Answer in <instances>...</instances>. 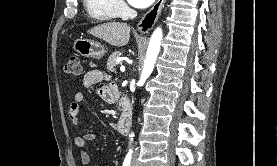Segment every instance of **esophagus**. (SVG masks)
<instances>
[{"instance_id":"obj_1","label":"esophagus","mask_w":277,"mask_h":166,"mask_svg":"<svg viewBox=\"0 0 277 166\" xmlns=\"http://www.w3.org/2000/svg\"><path fill=\"white\" fill-rule=\"evenodd\" d=\"M165 0H157L154 6L141 18L137 24V29L141 33H148L156 23L161 14Z\"/></svg>"}]
</instances>
